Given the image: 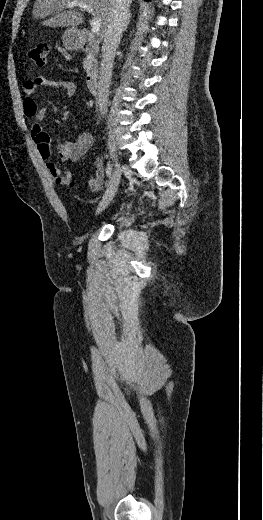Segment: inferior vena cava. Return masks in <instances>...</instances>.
<instances>
[{
  "mask_svg": "<svg viewBox=\"0 0 263 520\" xmlns=\"http://www.w3.org/2000/svg\"><path fill=\"white\" fill-rule=\"evenodd\" d=\"M110 21L103 37L102 59L99 70L97 103L101 115L107 113L109 87L115 51L120 43L129 15L130 0H112Z\"/></svg>",
  "mask_w": 263,
  "mask_h": 520,
  "instance_id": "inferior-vena-cava-1",
  "label": "inferior vena cava"
}]
</instances>
